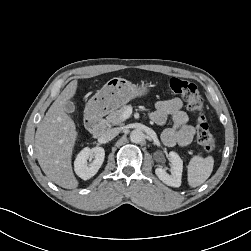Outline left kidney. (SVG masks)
Masks as SVG:
<instances>
[{
  "label": "left kidney",
  "instance_id": "left-kidney-1",
  "mask_svg": "<svg viewBox=\"0 0 251 251\" xmlns=\"http://www.w3.org/2000/svg\"><path fill=\"white\" fill-rule=\"evenodd\" d=\"M169 159L172 163L171 174H168L161 167L155 169V174L163 183L167 184L168 186L180 187L183 171V161L180 156L174 151H171L169 153Z\"/></svg>",
  "mask_w": 251,
  "mask_h": 251
}]
</instances>
